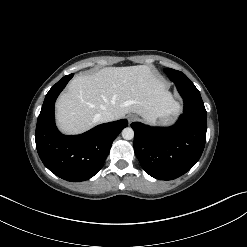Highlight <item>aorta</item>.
<instances>
[{
    "mask_svg": "<svg viewBox=\"0 0 247 247\" xmlns=\"http://www.w3.org/2000/svg\"><path fill=\"white\" fill-rule=\"evenodd\" d=\"M122 137L125 140H131L134 138V130L131 127H126L122 130Z\"/></svg>",
    "mask_w": 247,
    "mask_h": 247,
    "instance_id": "aorta-1",
    "label": "aorta"
}]
</instances>
